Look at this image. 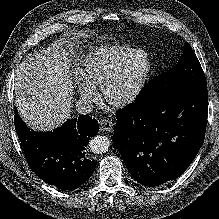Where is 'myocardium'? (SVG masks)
<instances>
[{
    "label": "myocardium",
    "mask_w": 219,
    "mask_h": 219,
    "mask_svg": "<svg viewBox=\"0 0 219 219\" xmlns=\"http://www.w3.org/2000/svg\"><path fill=\"white\" fill-rule=\"evenodd\" d=\"M139 56H145L148 61L147 68L142 75L141 79L139 80L138 84L135 86V88L127 95L115 98L111 94V90L113 87V84L115 80L117 79L121 69L131 60L139 57ZM153 60L151 55L143 49H136L133 52L129 53L122 59H120L114 67L109 71L107 76L105 77L104 81L101 84V96L103 101L109 105L112 108L116 109H122L125 107H128L132 103H134L142 94L143 90L145 89L148 80L153 72Z\"/></svg>",
    "instance_id": "myocardium-1"
}]
</instances>
